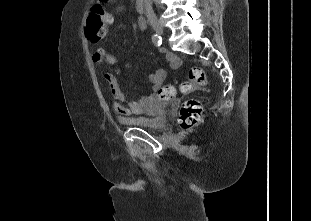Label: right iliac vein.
Wrapping results in <instances>:
<instances>
[{
	"label": "right iliac vein",
	"mask_w": 311,
	"mask_h": 221,
	"mask_svg": "<svg viewBox=\"0 0 311 221\" xmlns=\"http://www.w3.org/2000/svg\"><path fill=\"white\" fill-rule=\"evenodd\" d=\"M151 25L154 29V31L158 34V35H163L164 31H163V27L161 25V23L157 20H153L151 21Z\"/></svg>",
	"instance_id": "63e3f726"
}]
</instances>
